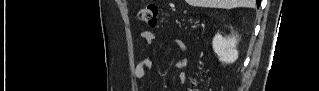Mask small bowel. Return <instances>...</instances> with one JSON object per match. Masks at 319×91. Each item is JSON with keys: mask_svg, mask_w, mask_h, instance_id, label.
Masks as SVG:
<instances>
[{"mask_svg": "<svg viewBox=\"0 0 319 91\" xmlns=\"http://www.w3.org/2000/svg\"><path fill=\"white\" fill-rule=\"evenodd\" d=\"M142 40L143 42L148 46H153L155 43V35L151 31H144L142 32ZM174 45L180 50L185 52L187 50V46L184 41L180 39L174 40ZM153 60L150 57L144 58L140 60V62L137 64L135 68V76L136 78L142 82L147 72L152 67ZM188 65V59L186 57L181 58L177 60L174 63V67L178 70H180V73L178 75L179 82L184 85L187 81V75L183 71V69Z\"/></svg>", "mask_w": 319, "mask_h": 91, "instance_id": "small-bowel-1", "label": "small bowel"}]
</instances>
